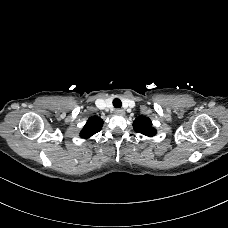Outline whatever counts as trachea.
<instances>
[{"instance_id": "obj_1", "label": "trachea", "mask_w": 228, "mask_h": 228, "mask_svg": "<svg viewBox=\"0 0 228 228\" xmlns=\"http://www.w3.org/2000/svg\"><path fill=\"white\" fill-rule=\"evenodd\" d=\"M113 105H114L115 108H121L122 102H121L120 99L116 98V99L113 100Z\"/></svg>"}]
</instances>
